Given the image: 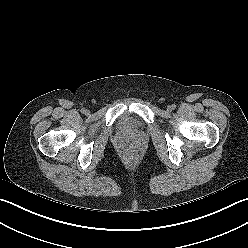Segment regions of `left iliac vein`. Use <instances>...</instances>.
Returning <instances> with one entry per match:
<instances>
[{"mask_svg": "<svg viewBox=\"0 0 248 248\" xmlns=\"http://www.w3.org/2000/svg\"><path fill=\"white\" fill-rule=\"evenodd\" d=\"M167 111H168V112H171V111H172L171 105L167 107Z\"/></svg>", "mask_w": 248, "mask_h": 248, "instance_id": "1", "label": "left iliac vein"}]
</instances>
